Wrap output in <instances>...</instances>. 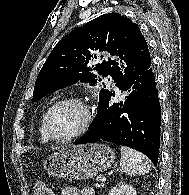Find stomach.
<instances>
[{
    "label": "stomach",
    "instance_id": "stomach-1",
    "mask_svg": "<svg viewBox=\"0 0 189 195\" xmlns=\"http://www.w3.org/2000/svg\"><path fill=\"white\" fill-rule=\"evenodd\" d=\"M114 159V152L107 145L84 144L53 152L44 161V169L54 177L86 180L109 168Z\"/></svg>",
    "mask_w": 189,
    "mask_h": 195
}]
</instances>
